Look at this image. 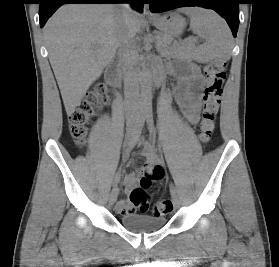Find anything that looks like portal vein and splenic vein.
Listing matches in <instances>:
<instances>
[{
	"label": "portal vein and splenic vein",
	"instance_id": "portal-vein-and-splenic-vein-1",
	"mask_svg": "<svg viewBox=\"0 0 279 267\" xmlns=\"http://www.w3.org/2000/svg\"><path fill=\"white\" fill-rule=\"evenodd\" d=\"M194 41V39H189V42H193Z\"/></svg>",
	"mask_w": 279,
	"mask_h": 267
}]
</instances>
